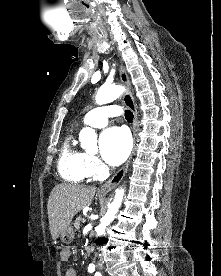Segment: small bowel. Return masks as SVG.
Masks as SVG:
<instances>
[{
  "label": "small bowel",
  "mask_w": 221,
  "mask_h": 276,
  "mask_svg": "<svg viewBox=\"0 0 221 276\" xmlns=\"http://www.w3.org/2000/svg\"><path fill=\"white\" fill-rule=\"evenodd\" d=\"M70 251L67 249L66 251H63V253L61 254V260L64 262H67L70 259ZM65 276H77V273L75 271V269L73 268H69L66 273Z\"/></svg>",
  "instance_id": "small-bowel-1"
}]
</instances>
